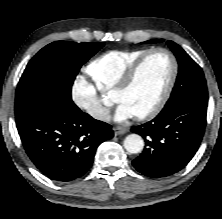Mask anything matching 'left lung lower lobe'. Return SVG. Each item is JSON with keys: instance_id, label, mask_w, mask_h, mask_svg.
I'll return each instance as SVG.
<instances>
[{"instance_id": "0a47b994", "label": "left lung lower lobe", "mask_w": 222, "mask_h": 219, "mask_svg": "<svg viewBox=\"0 0 222 219\" xmlns=\"http://www.w3.org/2000/svg\"><path fill=\"white\" fill-rule=\"evenodd\" d=\"M207 106L190 100L166 105L150 122L132 127L140 134L146 148L132 161L143 175L152 178L169 176L192 159L201 143L206 126Z\"/></svg>"}]
</instances>
